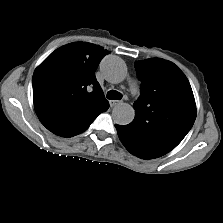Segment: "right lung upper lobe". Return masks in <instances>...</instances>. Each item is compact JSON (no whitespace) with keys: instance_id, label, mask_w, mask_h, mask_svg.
Listing matches in <instances>:
<instances>
[{"instance_id":"right-lung-upper-lobe-1","label":"right lung upper lobe","mask_w":223,"mask_h":223,"mask_svg":"<svg viewBox=\"0 0 223 223\" xmlns=\"http://www.w3.org/2000/svg\"><path fill=\"white\" fill-rule=\"evenodd\" d=\"M110 53L100 46L71 43L52 52L33 74V100L41 123L52 133L84 132L109 108L95 71Z\"/></svg>"}]
</instances>
